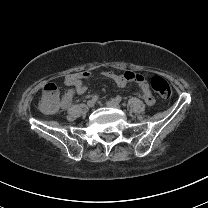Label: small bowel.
<instances>
[{
	"instance_id": "small-bowel-1",
	"label": "small bowel",
	"mask_w": 208,
	"mask_h": 208,
	"mask_svg": "<svg viewBox=\"0 0 208 208\" xmlns=\"http://www.w3.org/2000/svg\"><path fill=\"white\" fill-rule=\"evenodd\" d=\"M104 76L110 80L115 81L118 85L123 86L129 82H135L141 89V97L148 105H152L154 103V97L150 92L147 81L139 74H136L131 71H127L126 73H119L114 70H106L104 72ZM91 77V73L89 71L72 73L66 76L65 84L70 87V91L64 92V97L62 100V109H67L69 106V102L73 97V94H82L86 91V86L83 83V80Z\"/></svg>"
}]
</instances>
